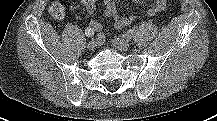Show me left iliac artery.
<instances>
[{
	"label": "left iliac artery",
	"instance_id": "left-iliac-artery-1",
	"mask_svg": "<svg viewBox=\"0 0 217 121\" xmlns=\"http://www.w3.org/2000/svg\"><path fill=\"white\" fill-rule=\"evenodd\" d=\"M137 30H138V27L134 26L133 28L129 29L125 34H123V38L127 40L131 39Z\"/></svg>",
	"mask_w": 217,
	"mask_h": 121
}]
</instances>
